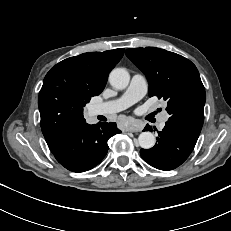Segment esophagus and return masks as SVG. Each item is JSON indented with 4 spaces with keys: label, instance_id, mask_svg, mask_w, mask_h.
Returning a JSON list of instances; mask_svg holds the SVG:
<instances>
[{
    "label": "esophagus",
    "instance_id": "34e87169",
    "mask_svg": "<svg viewBox=\"0 0 231 231\" xmlns=\"http://www.w3.org/2000/svg\"><path fill=\"white\" fill-rule=\"evenodd\" d=\"M142 129L140 128V127H138V126H128L127 128H126V131H128V132H140Z\"/></svg>",
    "mask_w": 231,
    "mask_h": 231
}]
</instances>
